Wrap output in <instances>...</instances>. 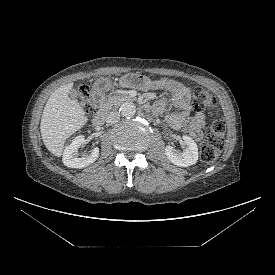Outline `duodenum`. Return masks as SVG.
<instances>
[{
	"instance_id": "duodenum-1",
	"label": "duodenum",
	"mask_w": 275,
	"mask_h": 275,
	"mask_svg": "<svg viewBox=\"0 0 275 275\" xmlns=\"http://www.w3.org/2000/svg\"><path fill=\"white\" fill-rule=\"evenodd\" d=\"M94 97H95V99H96L97 101H100V100H101V97H102L101 92H100V91H96V92L94 93ZM143 109H144V111L149 112L150 107H149V105L145 104V105L143 106ZM106 115H107V113H106L105 110H100V111L95 115V117H94V119H93V124H94V126H96V127L102 126V125L105 123Z\"/></svg>"
}]
</instances>
